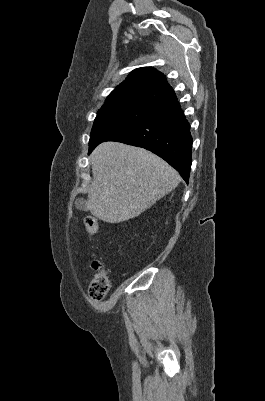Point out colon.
<instances>
[{
    "mask_svg": "<svg viewBox=\"0 0 265 401\" xmlns=\"http://www.w3.org/2000/svg\"><path fill=\"white\" fill-rule=\"evenodd\" d=\"M84 227L88 234L95 235L99 230V222L95 217L88 216L84 219ZM93 268L96 271L90 280L88 293L92 300H102L109 292L111 281L103 263L99 260L93 261Z\"/></svg>",
    "mask_w": 265,
    "mask_h": 401,
    "instance_id": "obj_1",
    "label": "colon"
}]
</instances>
